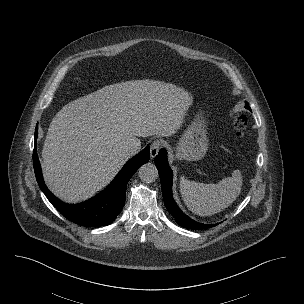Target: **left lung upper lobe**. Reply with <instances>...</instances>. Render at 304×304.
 <instances>
[{
  "label": "left lung upper lobe",
  "instance_id": "1",
  "mask_svg": "<svg viewBox=\"0 0 304 304\" xmlns=\"http://www.w3.org/2000/svg\"><path fill=\"white\" fill-rule=\"evenodd\" d=\"M245 108L248 109V110H251L247 102L245 104Z\"/></svg>",
  "mask_w": 304,
  "mask_h": 304
}]
</instances>
